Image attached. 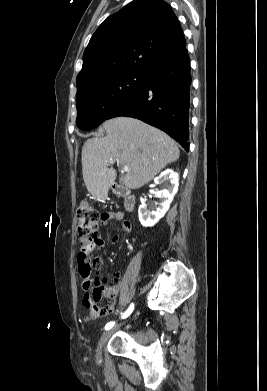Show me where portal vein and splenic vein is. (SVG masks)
I'll use <instances>...</instances> for the list:
<instances>
[{
    "mask_svg": "<svg viewBox=\"0 0 267 391\" xmlns=\"http://www.w3.org/2000/svg\"><path fill=\"white\" fill-rule=\"evenodd\" d=\"M113 160L112 159H110L109 161H108V164H113ZM119 163V162H118ZM122 170L123 171H125V172H127V171H129V168H128V166H126V165H124V166H122Z\"/></svg>",
    "mask_w": 267,
    "mask_h": 391,
    "instance_id": "portal-vein-and-splenic-vein-1",
    "label": "portal vein and splenic vein"
}]
</instances>
